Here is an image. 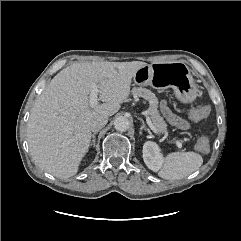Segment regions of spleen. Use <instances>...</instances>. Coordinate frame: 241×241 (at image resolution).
Segmentation results:
<instances>
[{"label":"spleen","instance_id":"spleen-1","mask_svg":"<svg viewBox=\"0 0 241 241\" xmlns=\"http://www.w3.org/2000/svg\"><path fill=\"white\" fill-rule=\"evenodd\" d=\"M163 162L158 175L166 180H179L198 170L203 164V158L192 151L172 152L167 154Z\"/></svg>","mask_w":241,"mask_h":241}]
</instances>
